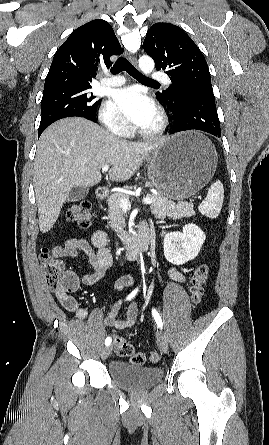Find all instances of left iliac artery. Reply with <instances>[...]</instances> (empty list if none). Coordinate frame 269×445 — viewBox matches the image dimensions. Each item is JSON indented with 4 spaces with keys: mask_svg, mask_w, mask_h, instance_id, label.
Instances as JSON below:
<instances>
[{
    "mask_svg": "<svg viewBox=\"0 0 269 445\" xmlns=\"http://www.w3.org/2000/svg\"><path fill=\"white\" fill-rule=\"evenodd\" d=\"M152 315H153V317H154V319H155V321H156L158 327H159L160 329H162V327H163V322H162V319H161L160 314L157 312V310H156L155 308L152 309Z\"/></svg>",
    "mask_w": 269,
    "mask_h": 445,
    "instance_id": "1",
    "label": "left iliac artery"
}]
</instances>
